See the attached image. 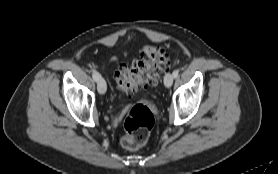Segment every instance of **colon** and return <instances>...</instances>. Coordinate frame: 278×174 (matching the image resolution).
<instances>
[{
  "mask_svg": "<svg viewBox=\"0 0 278 174\" xmlns=\"http://www.w3.org/2000/svg\"><path fill=\"white\" fill-rule=\"evenodd\" d=\"M168 63V54L164 49L144 46L139 59L130 67L122 66L116 72L119 88L126 94L154 85ZM154 126L151 110L142 104L135 105L127 114L124 122L125 135L121 144L129 150L142 147L148 140Z\"/></svg>",
  "mask_w": 278,
  "mask_h": 174,
  "instance_id": "colon-1",
  "label": "colon"
}]
</instances>
